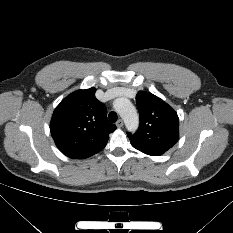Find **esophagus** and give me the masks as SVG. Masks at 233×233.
<instances>
[{"label":"esophagus","mask_w":233,"mask_h":233,"mask_svg":"<svg viewBox=\"0 0 233 233\" xmlns=\"http://www.w3.org/2000/svg\"><path fill=\"white\" fill-rule=\"evenodd\" d=\"M123 120L122 119H119L118 121H117V123H116V126L118 127V128H121V127H123Z\"/></svg>","instance_id":"1"}]
</instances>
